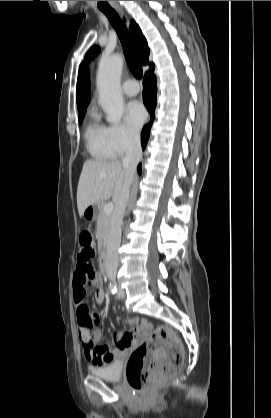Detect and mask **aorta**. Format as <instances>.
Here are the masks:
<instances>
[{
  "mask_svg": "<svg viewBox=\"0 0 271 418\" xmlns=\"http://www.w3.org/2000/svg\"><path fill=\"white\" fill-rule=\"evenodd\" d=\"M123 57L115 54L100 61L97 72L99 102L106 111L107 120L119 123L124 112V101L120 88Z\"/></svg>",
  "mask_w": 271,
  "mask_h": 418,
  "instance_id": "obj_1",
  "label": "aorta"
}]
</instances>
